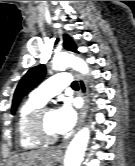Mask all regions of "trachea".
Masks as SVG:
<instances>
[{
	"label": "trachea",
	"instance_id": "3493384b",
	"mask_svg": "<svg viewBox=\"0 0 135 166\" xmlns=\"http://www.w3.org/2000/svg\"><path fill=\"white\" fill-rule=\"evenodd\" d=\"M72 88H73V89H78V88H79V85H78V82H77V81H74V82L72 83Z\"/></svg>",
	"mask_w": 135,
	"mask_h": 166
}]
</instances>
